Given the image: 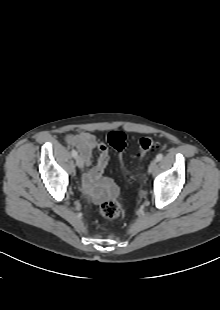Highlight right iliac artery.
<instances>
[{
  "label": "right iliac artery",
  "mask_w": 220,
  "mask_h": 310,
  "mask_svg": "<svg viewBox=\"0 0 220 310\" xmlns=\"http://www.w3.org/2000/svg\"><path fill=\"white\" fill-rule=\"evenodd\" d=\"M71 154H72V156H73L74 158H76L77 155H78V153H77L76 150H72V151H71Z\"/></svg>",
  "instance_id": "82829eb1"
}]
</instances>
